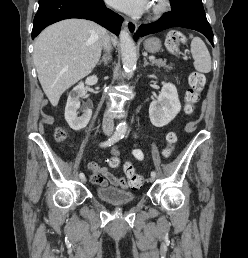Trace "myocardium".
<instances>
[{
	"mask_svg": "<svg viewBox=\"0 0 248 258\" xmlns=\"http://www.w3.org/2000/svg\"><path fill=\"white\" fill-rule=\"evenodd\" d=\"M169 8V0H155L151 7V15L158 17L164 14Z\"/></svg>",
	"mask_w": 248,
	"mask_h": 258,
	"instance_id": "1",
	"label": "myocardium"
}]
</instances>
